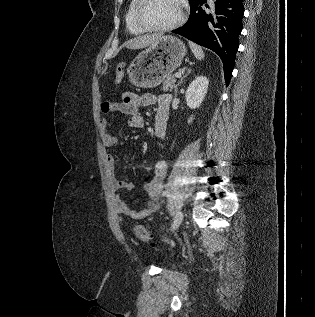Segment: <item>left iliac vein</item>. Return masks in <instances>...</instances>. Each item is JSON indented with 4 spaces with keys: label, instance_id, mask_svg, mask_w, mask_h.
<instances>
[{
    "label": "left iliac vein",
    "instance_id": "1",
    "mask_svg": "<svg viewBox=\"0 0 315 317\" xmlns=\"http://www.w3.org/2000/svg\"><path fill=\"white\" fill-rule=\"evenodd\" d=\"M182 220H183V212L179 210L176 212V214L173 218V222L171 225V231H175L182 223Z\"/></svg>",
    "mask_w": 315,
    "mask_h": 317
}]
</instances>
